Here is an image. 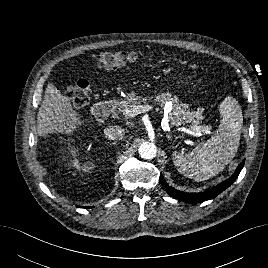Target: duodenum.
I'll return each instance as SVG.
<instances>
[{"label": "duodenum", "instance_id": "duodenum-1", "mask_svg": "<svg viewBox=\"0 0 268 268\" xmlns=\"http://www.w3.org/2000/svg\"><path fill=\"white\" fill-rule=\"evenodd\" d=\"M115 108L116 103L113 100H105L96 103L93 106V112L97 117L103 120H107L110 117V115L114 112Z\"/></svg>", "mask_w": 268, "mask_h": 268}]
</instances>
